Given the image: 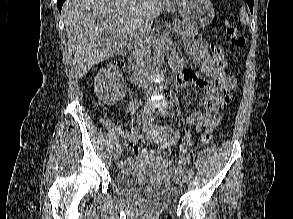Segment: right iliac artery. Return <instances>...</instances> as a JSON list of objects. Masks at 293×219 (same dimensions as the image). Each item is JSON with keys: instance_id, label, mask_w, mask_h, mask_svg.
<instances>
[{"instance_id": "82829eb1", "label": "right iliac artery", "mask_w": 293, "mask_h": 219, "mask_svg": "<svg viewBox=\"0 0 293 219\" xmlns=\"http://www.w3.org/2000/svg\"><path fill=\"white\" fill-rule=\"evenodd\" d=\"M153 121H154L153 117L145 119L143 122L142 130H146L152 124ZM114 147L116 148L121 147V144L119 142H116Z\"/></svg>"}]
</instances>
